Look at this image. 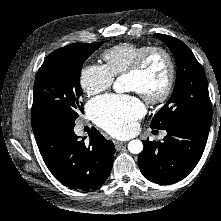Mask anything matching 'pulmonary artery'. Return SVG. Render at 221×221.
I'll list each match as a JSON object with an SVG mask.
<instances>
[{
    "mask_svg": "<svg viewBox=\"0 0 221 221\" xmlns=\"http://www.w3.org/2000/svg\"><path fill=\"white\" fill-rule=\"evenodd\" d=\"M164 136H165V133H163L162 137H164Z\"/></svg>",
    "mask_w": 221,
    "mask_h": 221,
    "instance_id": "pulmonary-artery-1",
    "label": "pulmonary artery"
}]
</instances>
